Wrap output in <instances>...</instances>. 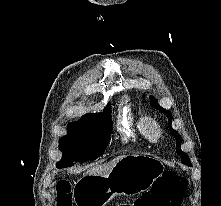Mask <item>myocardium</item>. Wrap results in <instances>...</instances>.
Returning a JSON list of instances; mask_svg holds the SVG:
<instances>
[{"label": "myocardium", "mask_w": 221, "mask_h": 206, "mask_svg": "<svg viewBox=\"0 0 221 206\" xmlns=\"http://www.w3.org/2000/svg\"><path fill=\"white\" fill-rule=\"evenodd\" d=\"M142 131L146 139L152 143H157L162 137V129L154 118L144 116L141 120Z\"/></svg>", "instance_id": "1"}]
</instances>
